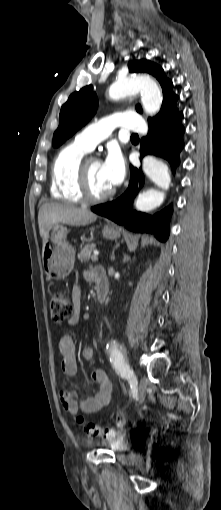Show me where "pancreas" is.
Here are the masks:
<instances>
[{"instance_id": "1", "label": "pancreas", "mask_w": 221, "mask_h": 510, "mask_svg": "<svg viewBox=\"0 0 221 510\" xmlns=\"http://www.w3.org/2000/svg\"><path fill=\"white\" fill-rule=\"evenodd\" d=\"M94 244H87L85 245L81 251L78 253L77 257L80 261L86 262L90 259L91 252L95 249Z\"/></svg>"}]
</instances>
